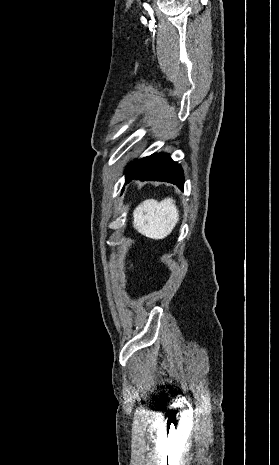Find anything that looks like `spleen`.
I'll return each mask as SVG.
<instances>
[{"mask_svg": "<svg viewBox=\"0 0 279 465\" xmlns=\"http://www.w3.org/2000/svg\"><path fill=\"white\" fill-rule=\"evenodd\" d=\"M178 221L179 212L173 198H166L161 202L145 200L133 212V227L152 239L167 237Z\"/></svg>", "mask_w": 279, "mask_h": 465, "instance_id": "3e777b00", "label": "spleen"}]
</instances>
